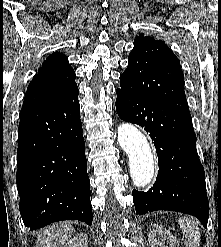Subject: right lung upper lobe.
Instances as JSON below:
<instances>
[{"mask_svg": "<svg viewBox=\"0 0 221 247\" xmlns=\"http://www.w3.org/2000/svg\"><path fill=\"white\" fill-rule=\"evenodd\" d=\"M75 72L63 53H53L30 82L22 110L66 97L78 89Z\"/></svg>", "mask_w": 221, "mask_h": 247, "instance_id": "1", "label": "right lung upper lobe"}]
</instances>
